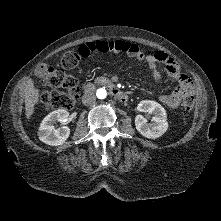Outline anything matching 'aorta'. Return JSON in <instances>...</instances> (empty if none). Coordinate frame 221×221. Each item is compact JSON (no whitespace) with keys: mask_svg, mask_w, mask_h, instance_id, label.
<instances>
[{"mask_svg":"<svg viewBox=\"0 0 221 221\" xmlns=\"http://www.w3.org/2000/svg\"><path fill=\"white\" fill-rule=\"evenodd\" d=\"M96 95L99 99H105L107 96V91L104 88H100L97 90Z\"/></svg>","mask_w":221,"mask_h":221,"instance_id":"aorta-1","label":"aorta"}]
</instances>
